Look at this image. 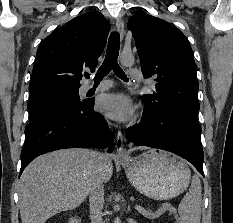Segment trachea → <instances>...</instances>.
<instances>
[{"mask_svg":"<svg viewBox=\"0 0 233 223\" xmlns=\"http://www.w3.org/2000/svg\"><path fill=\"white\" fill-rule=\"evenodd\" d=\"M119 47H120V41H119V33L113 32L111 33L108 41L107 51L105 55V59L101 65V67L98 69V72L96 73L94 77V82L99 83L101 80L108 75V73L113 70L114 74L121 78V80H124L125 82L128 81L125 73L123 72L122 68L117 63V58L119 55ZM86 78H89L90 75H85Z\"/></svg>","mask_w":233,"mask_h":223,"instance_id":"1","label":"trachea"}]
</instances>
